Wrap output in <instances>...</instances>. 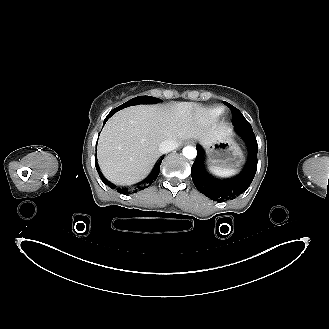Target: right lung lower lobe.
Here are the masks:
<instances>
[{
    "label": "right lung lower lobe",
    "instance_id": "obj_1",
    "mask_svg": "<svg viewBox=\"0 0 329 329\" xmlns=\"http://www.w3.org/2000/svg\"><path fill=\"white\" fill-rule=\"evenodd\" d=\"M114 113L113 112H110L108 114V116L105 118L104 120V124L106 123V121L113 115ZM103 124V125H104ZM96 148H97V144H96ZM163 156L157 161L156 165L154 166L152 172L150 173V175L144 179L142 182H140L139 184H137V187L138 189H143L145 187H148L149 185H151L153 183V181H155L159 175V171H160V165H161V162L163 160ZM95 166H96V169L98 171V174L100 176V178L102 179V181L108 185L111 189H116L117 186L112 184L111 182H109L103 175L102 173L100 172L99 170V167H98V164H97V161H95ZM117 191L119 193H122V194H126V193H129V189L128 188H117Z\"/></svg>",
    "mask_w": 329,
    "mask_h": 329
}]
</instances>
